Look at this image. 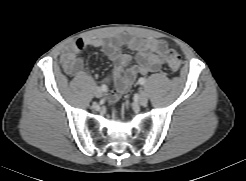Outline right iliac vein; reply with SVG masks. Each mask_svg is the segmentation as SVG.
<instances>
[{
    "mask_svg": "<svg viewBox=\"0 0 246 181\" xmlns=\"http://www.w3.org/2000/svg\"><path fill=\"white\" fill-rule=\"evenodd\" d=\"M94 94L97 98H100L103 95L102 90L100 88H96Z\"/></svg>",
    "mask_w": 246,
    "mask_h": 181,
    "instance_id": "right-iliac-vein-1",
    "label": "right iliac vein"
}]
</instances>
